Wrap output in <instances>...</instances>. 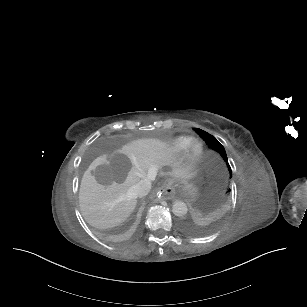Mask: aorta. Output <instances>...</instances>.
Instances as JSON below:
<instances>
[{"instance_id": "762f6f07", "label": "aorta", "mask_w": 307, "mask_h": 307, "mask_svg": "<svg viewBox=\"0 0 307 307\" xmlns=\"http://www.w3.org/2000/svg\"><path fill=\"white\" fill-rule=\"evenodd\" d=\"M188 211L187 205L182 201H175L172 207V212L176 216H184Z\"/></svg>"}]
</instances>
